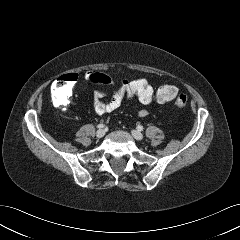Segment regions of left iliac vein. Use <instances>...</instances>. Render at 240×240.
Returning <instances> with one entry per match:
<instances>
[{
	"label": "left iliac vein",
	"mask_w": 240,
	"mask_h": 240,
	"mask_svg": "<svg viewBox=\"0 0 240 240\" xmlns=\"http://www.w3.org/2000/svg\"><path fill=\"white\" fill-rule=\"evenodd\" d=\"M132 136L136 139V140H143L144 136L141 132L137 131V130H132Z\"/></svg>",
	"instance_id": "obj_1"
}]
</instances>
